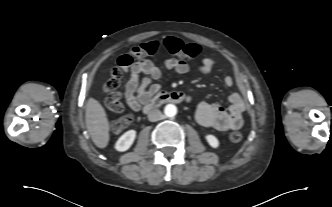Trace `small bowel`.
<instances>
[{
	"mask_svg": "<svg viewBox=\"0 0 332 207\" xmlns=\"http://www.w3.org/2000/svg\"><path fill=\"white\" fill-rule=\"evenodd\" d=\"M218 65L215 58L206 56L200 59L198 69L200 73L208 74ZM163 70L186 74L190 68L186 62L175 58L165 59L161 66L155 65L148 59L138 60L130 66V75L125 88V99L130 109L138 111L160 90V85L156 81L161 77ZM223 81L226 86L234 84L231 75L225 76ZM229 101L230 106L227 110L205 100L199 101L196 105L198 123L219 131L241 128L245 121V102L238 92L232 93Z\"/></svg>",
	"mask_w": 332,
	"mask_h": 207,
	"instance_id": "c3829d8e",
	"label": "small bowel"
}]
</instances>
